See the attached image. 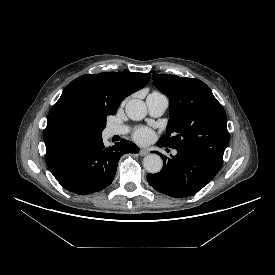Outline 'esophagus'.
<instances>
[{
    "mask_svg": "<svg viewBox=\"0 0 275 275\" xmlns=\"http://www.w3.org/2000/svg\"><path fill=\"white\" fill-rule=\"evenodd\" d=\"M148 151L147 150H145V149H141L140 151H139V154L141 155V156H146V155H148Z\"/></svg>",
    "mask_w": 275,
    "mask_h": 275,
    "instance_id": "obj_1",
    "label": "esophagus"
}]
</instances>
